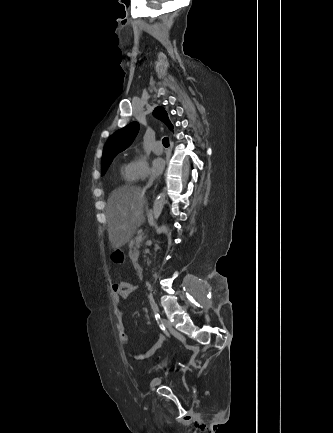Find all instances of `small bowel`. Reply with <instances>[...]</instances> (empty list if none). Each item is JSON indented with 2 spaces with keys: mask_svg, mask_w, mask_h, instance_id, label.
<instances>
[{
  "mask_svg": "<svg viewBox=\"0 0 333 433\" xmlns=\"http://www.w3.org/2000/svg\"><path fill=\"white\" fill-rule=\"evenodd\" d=\"M113 299L115 307V315L118 322V332L119 341L122 346H127L129 342L128 332L124 322V312L120 308V303L122 299L128 298L136 289L137 285L130 282H116L113 284ZM166 338L164 335L160 334L157 340L145 351L134 352L132 350H125V355L127 358L136 361H142L150 358L155 352H157L164 345Z\"/></svg>",
  "mask_w": 333,
  "mask_h": 433,
  "instance_id": "obj_1",
  "label": "small bowel"
}]
</instances>
